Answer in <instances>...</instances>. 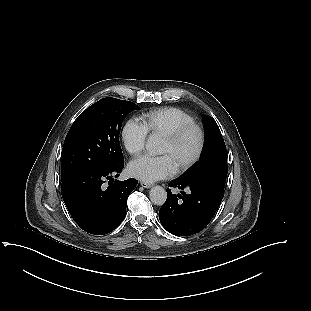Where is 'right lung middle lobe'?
<instances>
[{"mask_svg": "<svg viewBox=\"0 0 311 311\" xmlns=\"http://www.w3.org/2000/svg\"><path fill=\"white\" fill-rule=\"evenodd\" d=\"M139 109L130 101L103 98L81 113L65 138L61 181L82 171L111 169L122 164L121 125L128 113Z\"/></svg>", "mask_w": 311, "mask_h": 311, "instance_id": "dd1d6c3e", "label": "right lung middle lobe"}]
</instances>
